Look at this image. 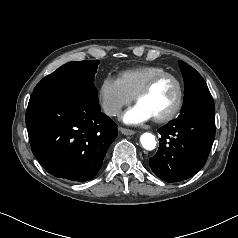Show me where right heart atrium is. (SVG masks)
<instances>
[{"label":"right heart atrium","mask_w":238,"mask_h":238,"mask_svg":"<svg viewBox=\"0 0 238 238\" xmlns=\"http://www.w3.org/2000/svg\"><path fill=\"white\" fill-rule=\"evenodd\" d=\"M99 99L103 111L110 117L117 116L121 109L132 101L117 78H105L99 88Z\"/></svg>","instance_id":"1"}]
</instances>
